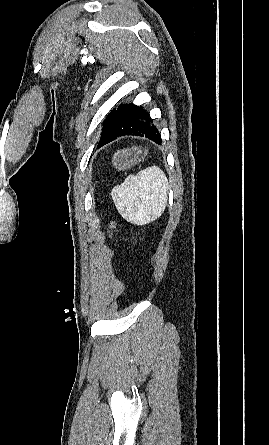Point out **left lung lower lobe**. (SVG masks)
Segmentation results:
<instances>
[{"label": "left lung lower lobe", "instance_id": "0a47b994", "mask_svg": "<svg viewBox=\"0 0 269 445\" xmlns=\"http://www.w3.org/2000/svg\"><path fill=\"white\" fill-rule=\"evenodd\" d=\"M125 135L146 137L157 144L162 143L160 132L153 124L150 115L142 106H136L133 103L120 105L113 111L103 128L97 147L100 148L117 137Z\"/></svg>", "mask_w": 269, "mask_h": 445}]
</instances>
